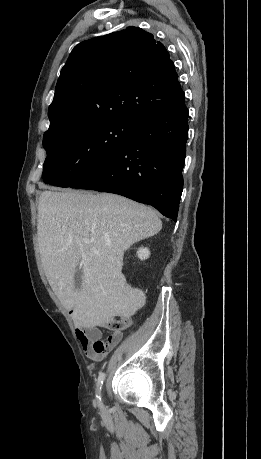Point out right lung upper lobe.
Segmentation results:
<instances>
[{
    "instance_id": "cb5924a9",
    "label": "right lung upper lobe",
    "mask_w": 261,
    "mask_h": 459,
    "mask_svg": "<svg viewBox=\"0 0 261 459\" xmlns=\"http://www.w3.org/2000/svg\"><path fill=\"white\" fill-rule=\"evenodd\" d=\"M184 92L161 42L140 28L81 42L61 70L45 134L81 132L114 120L141 123Z\"/></svg>"
}]
</instances>
